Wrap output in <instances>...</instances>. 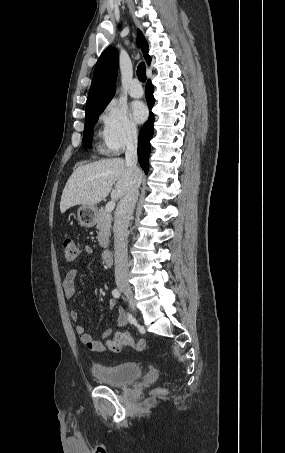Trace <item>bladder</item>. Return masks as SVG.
I'll return each instance as SVG.
<instances>
[{
	"label": "bladder",
	"mask_w": 285,
	"mask_h": 453,
	"mask_svg": "<svg viewBox=\"0 0 285 453\" xmlns=\"http://www.w3.org/2000/svg\"><path fill=\"white\" fill-rule=\"evenodd\" d=\"M91 372L101 383L115 387L131 384L142 376L141 366L132 362L117 365L94 363Z\"/></svg>",
	"instance_id": "31cf9c89"
}]
</instances>
